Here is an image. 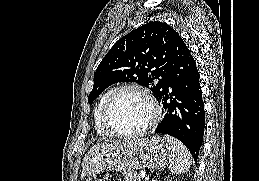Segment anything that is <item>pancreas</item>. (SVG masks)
<instances>
[{"instance_id": "pancreas-1", "label": "pancreas", "mask_w": 259, "mask_h": 181, "mask_svg": "<svg viewBox=\"0 0 259 181\" xmlns=\"http://www.w3.org/2000/svg\"><path fill=\"white\" fill-rule=\"evenodd\" d=\"M123 177L125 181H141L139 174L134 170L124 172Z\"/></svg>"}]
</instances>
